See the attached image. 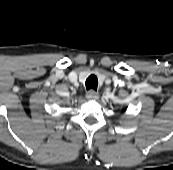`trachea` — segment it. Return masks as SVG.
Returning a JSON list of instances; mask_svg holds the SVG:
<instances>
[{
	"label": "trachea",
	"instance_id": "obj_1",
	"mask_svg": "<svg viewBox=\"0 0 173 170\" xmlns=\"http://www.w3.org/2000/svg\"><path fill=\"white\" fill-rule=\"evenodd\" d=\"M86 89L87 90H97V85H98V79L95 75H90L85 82Z\"/></svg>",
	"mask_w": 173,
	"mask_h": 170
}]
</instances>
